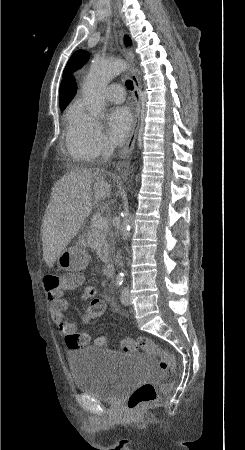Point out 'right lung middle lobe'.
<instances>
[{
	"instance_id": "dd1d6c3e",
	"label": "right lung middle lobe",
	"mask_w": 245,
	"mask_h": 450,
	"mask_svg": "<svg viewBox=\"0 0 245 450\" xmlns=\"http://www.w3.org/2000/svg\"><path fill=\"white\" fill-rule=\"evenodd\" d=\"M66 107L61 108L62 110H64Z\"/></svg>"
}]
</instances>
